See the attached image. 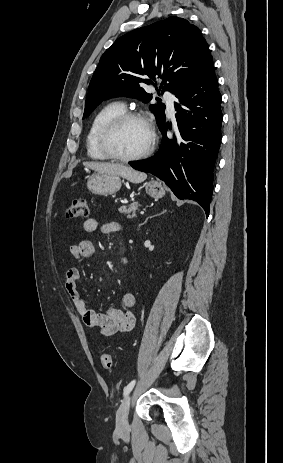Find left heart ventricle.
<instances>
[{
    "mask_svg": "<svg viewBox=\"0 0 283 463\" xmlns=\"http://www.w3.org/2000/svg\"><path fill=\"white\" fill-rule=\"evenodd\" d=\"M150 141L147 126L139 120H129L122 124L114 133L111 146L123 156H133L142 152Z\"/></svg>",
    "mask_w": 283,
    "mask_h": 463,
    "instance_id": "1",
    "label": "left heart ventricle"
}]
</instances>
